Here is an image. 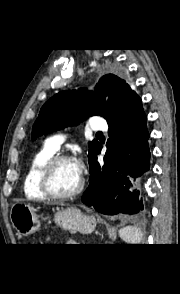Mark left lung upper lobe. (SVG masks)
<instances>
[{
    "instance_id": "left-lung-upper-lobe-1",
    "label": "left lung upper lobe",
    "mask_w": 180,
    "mask_h": 294,
    "mask_svg": "<svg viewBox=\"0 0 180 294\" xmlns=\"http://www.w3.org/2000/svg\"><path fill=\"white\" fill-rule=\"evenodd\" d=\"M134 95L136 92L115 74L103 76L95 87V94L86 88L62 91L50 98L41 108L33 126L32 139L68 125H77L90 115H100L108 122ZM106 97L108 101H105ZM99 146L96 140L89 143V160Z\"/></svg>"
}]
</instances>
